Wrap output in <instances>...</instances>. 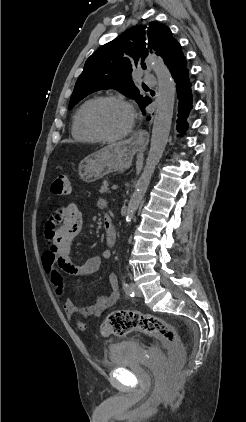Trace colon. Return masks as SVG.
<instances>
[{
	"label": "colon",
	"instance_id": "5ec220e1",
	"mask_svg": "<svg viewBox=\"0 0 246 422\" xmlns=\"http://www.w3.org/2000/svg\"><path fill=\"white\" fill-rule=\"evenodd\" d=\"M71 191V180L66 174H59L51 185V192L55 195H67ZM60 267L56 265L52 273V283L57 289V294L62 295V276ZM79 329L84 330L85 324L77 322ZM131 332H140L155 337L168 349L171 363L179 366L185 356L183 344L175 328L166 320L137 311L118 310L113 311L105 318L101 325L103 336H123Z\"/></svg>",
	"mask_w": 246,
	"mask_h": 422
}]
</instances>
